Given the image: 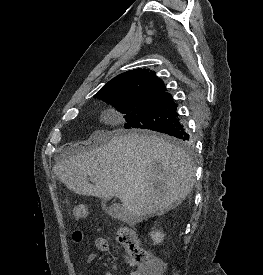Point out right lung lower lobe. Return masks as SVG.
I'll use <instances>...</instances> for the list:
<instances>
[{
    "instance_id": "right-lung-lower-lobe-1",
    "label": "right lung lower lobe",
    "mask_w": 263,
    "mask_h": 275,
    "mask_svg": "<svg viewBox=\"0 0 263 275\" xmlns=\"http://www.w3.org/2000/svg\"><path fill=\"white\" fill-rule=\"evenodd\" d=\"M156 132L167 134L184 141L189 140V135L186 133L180 119L167 126L156 129Z\"/></svg>"
}]
</instances>
